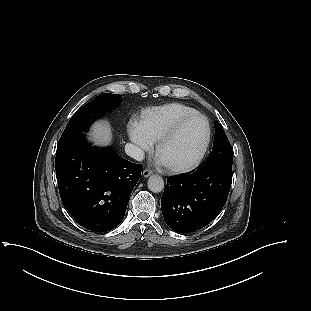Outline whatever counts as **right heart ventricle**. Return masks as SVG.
<instances>
[{
	"label": "right heart ventricle",
	"instance_id": "e07e8e85",
	"mask_svg": "<svg viewBox=\"0 0 311 311\" xmlns=\"http://www.w3.org/2000/svg\"><path fill=\"white\" fill-rule=\"evenodd\" d=\"M195 112L194 108L182 103L152 107L143 112L141 125L148 138L157 142L180 118Z\"/></svg>",
	"mask_w": 311,
	"mask_h": 311
}]
</instances>
